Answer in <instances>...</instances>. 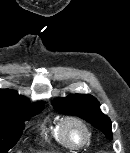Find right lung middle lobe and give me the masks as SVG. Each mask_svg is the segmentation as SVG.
Wrapping results in <instances>:
<instances>
[{
	"label": "right lung middle lobe",
	"instance_id": "right-lung-middle-lobe-1",
	"mask_svg": "<svg viewBox=\"0 0 130 153\" xmlns=\"http://www.w3.org/2000/svg\"><path fill=\"white\" fill-rule=\"evenodd\" d=\"M43 110V103L19 112H0V153H7L19 140L24 122Z\"/></svg>",
	"mask_w": 130,
	"mask_h": 153
}]
</instances>
